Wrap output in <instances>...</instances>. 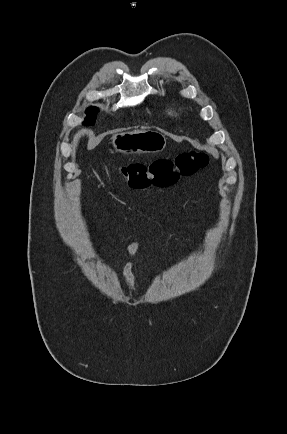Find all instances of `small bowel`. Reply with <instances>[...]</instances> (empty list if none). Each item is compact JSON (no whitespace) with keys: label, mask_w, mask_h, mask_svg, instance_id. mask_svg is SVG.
<instances>
[{"label":"small bowel","mask_w":287,"mask_h":434,"mask_svg":"<svg viewBox=\"0 0 287 434\" xmlns=\"http://www.w3.org/2000/svg\"><path fill=\"white\" fill-rule=\"evenodd\" d=\"M141 245V241L136 238L130 242L125 253L122 281L126 290L130 292L135 288V274L137 271V265L130 261V257L135 254Z\"/></svg>","instance_id":"1"}]
</instances>
